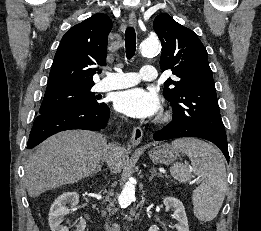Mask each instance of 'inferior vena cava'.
<instances>
[{
  "mask_svg": "<svg viewBox=\"0 0 261 231\" xmlns=\"http://www.w3.org/2000/svg\"><path fill=\"white\" fill-rule=\"evenodd\" d=\"M116 150H117L116 145L109 144L106 147V150H105V153H104V158L106 160H108L111 157V155L116 152ZM106 231H113V230L106 224Z\"/></svg>",
  "mask_w": 261,
  "mask_h": 231,
  "instance_id": "obj_1",
  "label": "inferior vena cava"
}]
</instances>
